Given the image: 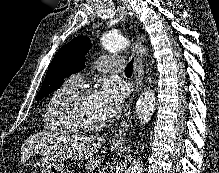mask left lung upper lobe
I'll list each match as a JSON object with an SVG mask.
<instances>
[{"label": "left lung upper lobe", "mask_w": 219, "mask_h": 173, "mask_svg": "<svg viewBox=\"0 0 219 173\" xmlns=\"http://www.w3.org/2000/svg\"><path fill=\"white\" fill-rule=\"evenodd\" d=\"M90 46V39L80 36L59 49L48 67L45 80L36 100L46 97L60 87L65 77L81 71L85 66L84 56L90 49Z\"/></svg>", "instance_id": "5c2ea615"}]
</instances>
